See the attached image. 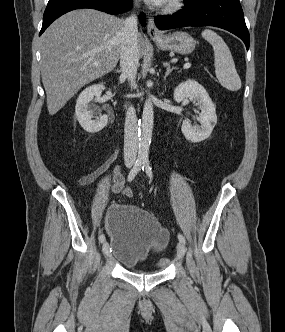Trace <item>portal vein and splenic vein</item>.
I'll use <instances>...</instances> for the list:
<instances>
[{"instance_id": "1", "label": "portal vein and splenic vein", "mask_w": 285, "mask_h": 332, "mask_svg": "<svg viewBox=\"0 0 285 332\" xmlns=\"http://www.w3.org/2000/svg\"><path fill=\"white\" fill-rule=\"evenodd\" d=\"M94 65L98 66V64H94ZM189 67H191V63H189V62L185 63L184 66H183L184 69H188Z\"/></svg>"}]
</instances>
